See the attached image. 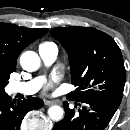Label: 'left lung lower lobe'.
<instances>
[{
  "label": "left lung lower lobe",
  "mask_w": 130,
  "mask_h": 130,
  "mask_svg": "<svg viewBox=\"0 0 130 130\" xmlns=\"http://www.w3.org/2000/svg\"><path fill=\"white\" fill-rule=\"evenodd\" d=\"M63 105L65 117L54 125L53 130H104L118 108L99 98H87L75 103L81 106L77 111L70 109L67 102Z\"/></svg>",
  "instance_id": "1"
}]
</instances>
